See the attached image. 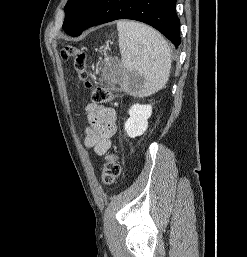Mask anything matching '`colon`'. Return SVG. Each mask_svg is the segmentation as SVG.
I'll return each mask as SVG.
<instances>
[{"label":"colon","instance_id":"5ec220e1","mask_svg":"<svg viewBox=\"0 0 247 257\" xmlns=\"http://www.w3.org/2000/svg\"><path fill=\"white\" fill-rule=\"evenodd\" d=\"M61 57L64 60H72L73 68L84 86L91 90L92 100L95 103L106 104L113 100V93L110 89L99 85H93L88 80L87 58L83 50L73 44L66 45L61 50ZM121 172L119 156L116 153H109L106 156L102 169V183L106 186L114 184Z\"/></svg>","mask_w":247,"mask_h":257}]
</instances>
